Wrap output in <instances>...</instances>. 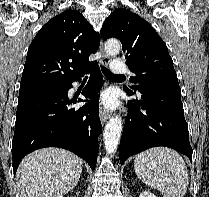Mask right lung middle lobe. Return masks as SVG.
Instances as JSON below:
<instances>
[{"label":"right lung middle lobe","mask_w":209,"mask_h":197,"mask_svg":"<svg viewBox=\"0 0 209 197\" xmlns=\"http://www.w3.org/2000/svg\"><path fill=\"white\" fill-rule=\"evenodd\" d=\"M62 88L63 86H41L28 89H21L19 91V101L25 100L32 96L55 92L61 90Z\"/></svg>","instance_id":"dd1d6c3e"}]
</instances>
